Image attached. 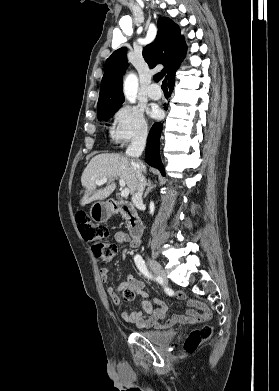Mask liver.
Masks as SVG:
<instances>
[{"label": "liver", "instance_id": "1", "mask_svg": "<svg viewBox=\"0 0 279 391\" xmlns=\"http://www.w3.org/2000/svg\"><path fill=\"white\" fill-rule=\"evenodd\" d=\"M146 173L145 164L141 161H132L120 154H98L94 156L81 176V184L86 189L81 205L84 206L95 200L108 198L116 188L115 179L122 178L131 194L137 190L138 180L134 167ZM107 178V185L96 190V180Z\"/></svg>", "mask_w": 279, "mask_h": 391}]
</instances>
